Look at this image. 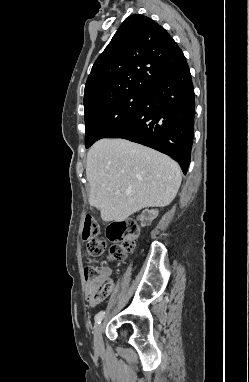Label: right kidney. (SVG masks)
<instances>
[{"label": "right kidney", "mask_w": 249, "mask_h": 382, "mask_svg": "<svg viewBox=\"0 0 249 382\" xmlns=\"http://www.w3.org/2000/svg\"><path fill=\"white\" fill-rule=\"evenodd\" d=\"M158 216V210H145L140 215L141 226L144 227Z\"/></svg>", "instance_id": "obj_1"}]
</instances>
